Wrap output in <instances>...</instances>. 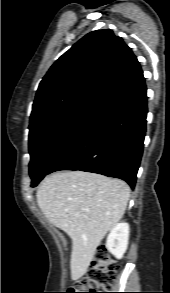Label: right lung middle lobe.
<instances>
[{
    "instance_id": "dd1d6c3e",
    "label": "right lung middle lobe",
    "mask_w": 170,
    "mask_h": 293,
    "mask_svg": "<svg viewBox=\"0 0 170 293\" xmlns=\"http://www.w3.org/2000/svg\"><path fill=\"white\" fill-rule=\"evenodd\" d=\"M102 105L82 103L66 108L29 127V173L35 187L54 162L89 128Z\"/></svg>"
}]
</instances>
